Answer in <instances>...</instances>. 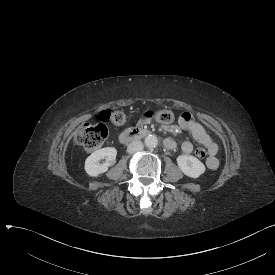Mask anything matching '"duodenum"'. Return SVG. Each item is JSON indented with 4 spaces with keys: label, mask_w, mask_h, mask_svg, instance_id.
Segmentation results:
<instances>
[{
    "label": "duodenum",
    "mask_w": 275,
    "mask_h": 275,
    "mask_svg": "<svg viewBox=\"0 0 275 275\" xmlns=\"http://www.w3.org/2000/svg\"><path fill=\"white\" fill-rule=\"evenodd\" d=\"M150 134V131L141 127L125 130L119 136V140L123 144L137 141Z\"/></svg>",
    "instance_id": "1"
}]
</instances>
